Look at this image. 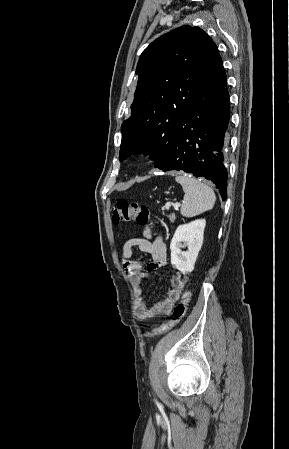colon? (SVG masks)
<instances>
[{"label": "colon", "instance_id": "obj_1", "mask_svg": "<svg viewBox=\"0 0 289 449\" xmlns=\"http://www.w3.org/2000/svg\"><path fill=\"white\" fill-rule=\"evenodd\" d=\"M112 220L116 225L131 220H134L139 224H153L150 210L147 206L138 203H130L125 199H119L116 201ZM189 302L190 292L185 290L182 293L181 300L174 308L171 319L161 324L159 327L147 332L146 335L152 337L155 335L165 334L172 330L185 316Z\"/></svg>", "mask_w": 289, "mask_h": 449}]
</instances>
